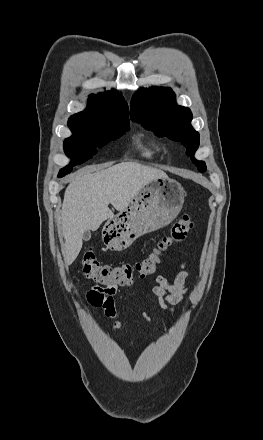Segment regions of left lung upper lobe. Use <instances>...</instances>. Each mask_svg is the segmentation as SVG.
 Segmentation results:
<instances>
[{"mask_svg":"<svg viewBox=\"0 0 263 440\" xmlns=\"http://www.w3.org/2000/svg\"><path fill=\"white\" fill-rule=\"evenodd\" d=\"M131 119L142 123L158 136H167L180 141L187 148V155L200 172L206 170L203 161L193 158L199 146V133L191 126L192 113L189 108L177 105L170 88L152 87L141 89L131 100Z\"/></svg>","mask_w":263,"mask_h":440,"instance_id":"obj_1","label":"left lung upper lobe"}]
</instances>
